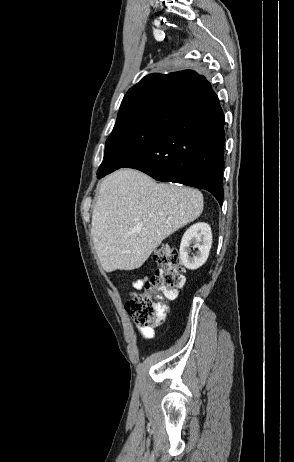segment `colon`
Listing matches in <instances>:
<instances>
[{"label":"colon","mask_w":294,"mask_h":462,"mask_svg":"<svg viewBox=\"0 0 294 462\" xmlns=\"http://www.w3.org/2000/svg\"><path fill=\"white\" fill-rule=\"evenodd\" d=\"M156 266L154 275L146 282L145 289L126 303V310L133 321L142 326H154L167 315L165 299H174L185 282L180 255L169 245H160L153 253Z\"/></svg>","instance_id":"5ec220e1"}]
</instances>
